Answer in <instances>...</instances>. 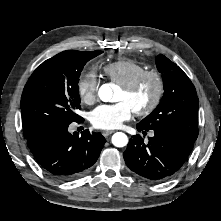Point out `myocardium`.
<instances>
[{
  "instance_id": "myocardium-1",
  "label": "myocardium",
  "mask_w": 221,
  "mask_h": 221,
  "mask_svg": "<svg viewBox=\"0 0 221 221\" xmlns=\"http://www.w3.org/2000/svg\"><path fill=\"white\" fill-rule=\"evenodd\" d=\"M152 79L155 83V92L152 100L148 105L141 109H137L134 113L137 116H147L154 112L160 105L165 92V81L162 74L155 69H145L128 82L120 85V88L127 92L136 90L144 81Z\"/></svg>"
}]
</instances>
